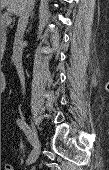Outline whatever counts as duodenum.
Instances as JSON below:
<instances>
[{"label":"duodenum","mask_w":109,"mask_h":170,"mask_svg":"<svg viewBox=\"0 0 109 170\" xmlns=\"http://www.w3.org/2000/svg\"><path fill=\"white\" fill-rule=\"evenodd\" d=\"M1 88H6V78L4 74L1 75Z\"/></svg>","instance_id":"1"}]
</instances>
